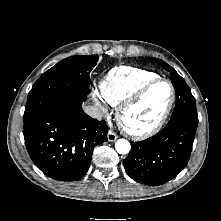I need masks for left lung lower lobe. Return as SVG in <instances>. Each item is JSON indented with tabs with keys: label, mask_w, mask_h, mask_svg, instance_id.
Listing matches in <instances>:
<instances>
[{
	"label": "left lung lower lobe",
	"mask_w": 221,
	"mask_h": 221,
	"mask_svg": "<svg viewBox=\"0 0 221 221\" xmlns=\"http://www.w3.org/2000/svg\"><path fill=\"white\" fill-rule=\"evenodd\" d=\"M174 111L190 109L192 100L176 89ZM197 125L185 121H169L156 135L131 142V151L123 160L128 175L146 185H161L174 178L187 165L191 155Z\"/></svg>",
	"instance_id": "obj_1"
}]
</instances>
